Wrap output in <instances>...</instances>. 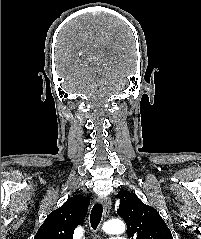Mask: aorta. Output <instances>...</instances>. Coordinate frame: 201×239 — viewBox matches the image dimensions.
I'll return each instance as SVG.
<instances>
[{
	"label": "aorta",
	"instance_id": "obj_1",
	"mask_svg": "<svg viewBox=\"0 0 201 239\" xmlns=\"http://www.w3.org/2000/svg\"><path fill=\"white\" fill-rule=\"evenodd\" d=\"M125 228L124 222L120 219L109 220L102 226V230L110 235L122 234Z\"/></svg>",
	"mask_w": 201,
	"mask_h": 239
}]
</instances>
